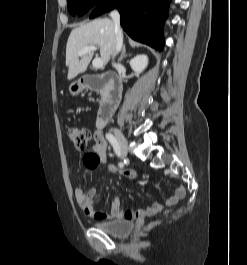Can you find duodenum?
Wrapping results in <instances>:
<instances>
[{
	"instance_id": "duodenum-1",
	"label": "duodenum",
	"mask_w": 247,
	"mask_h": 265,
	"mask_svg": "<svg viewBox=\"0 0 247 265\" xmlns=\"http://www.w3.org/2000/svg\"><path fill=\"white\" fill-rule=\"evenodd\" d=\"M81 85L85 89L99 90L104 92V100L99 108L96 125L102 127L113 115L122 95L123 84L120 78L112 72H104L98 75H84Z\"/></svg>"
}]
</instances>
